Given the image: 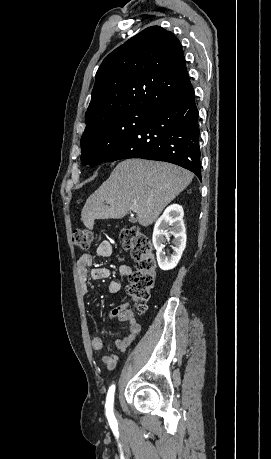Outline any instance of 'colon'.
Returning a JSON list of instances; mask_svg holds the SVG:
<instances>
[{"instance_id":"obj_1","label":"colon","mask_w":271,"mask_h":459,"mask_svg":"<svg viewBox=\"0 0 271 459\" xmlns=\"http://www.w3.org/2000/svg\"><path fill=\"white\" fill-rule=\"evenodd\" d=\"M125 249L136 261V270L129 276L127 293L139 311H144L150 292L155 286L157 258L150 238L137 227L123 228L119 234ZM73 243L81 250H87L94 240V233L88 228H78L72 233ZM129 314L128 311H125Z\"/></svg>"}]
</instances>
